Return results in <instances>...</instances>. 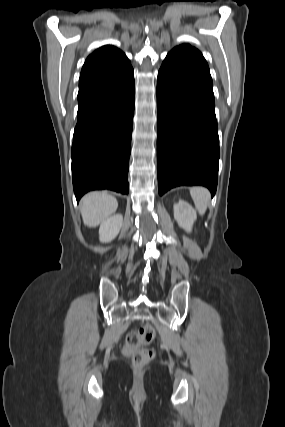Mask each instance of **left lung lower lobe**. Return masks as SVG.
I'll return each mask as SVG.
<instances>
[{
    "label": "left lung lower lobe",
    "instance_id": "0a47b994",
    "mask_svg": "<svg viewBox=\"0 0 285 427\" xmlns=\"http://www.w3.org/2000/svg\"><path fill=\"white\" fill-rule=\"evenodd\" d=\"M159 194L180 185H203L214 195L219 137L210 72L169 53L157 78Z\"/></svg>",
    "mask_w": 285,
    "mask_h": 427
}]
</instances>
